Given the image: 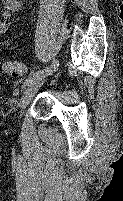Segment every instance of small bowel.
<instances>
[{"instance_id": "1", "label": "small bowel", "mask_w": 123, "mask_h": 201, "mask_svg": "<svg viewBox=\"0 0 123 201\" xmlns=\"http://www.w3.org/2000/svg\"><path fill=\"white\" fill-rule=\"evenodd\" d=\"M22 8V0H3L2 12L0 15V35L5 33L13 21L15 12Z\"/></svg>"}]
</instances>
